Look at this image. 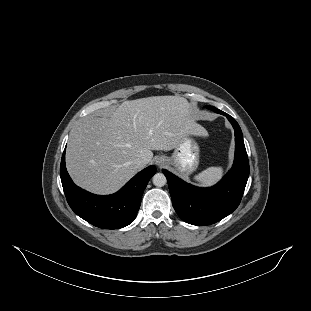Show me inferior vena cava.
Here are the masks:
<instances>
[{"mask_svg":"<svg viewBox=\"0 0 311 311\" xmlns=\"http://www.w3.org/2000/svg\"><path fill=\"white\" fill-rule=\"evenodd\" d=\"M135 163H136L138 166H140L141 163H142V159H141V158H137L136 161H135Z\"/></svg>","mask_w":311,"mask_h":311,"instance_id":"1","label":"inferior vena cava"}]
</instances>
